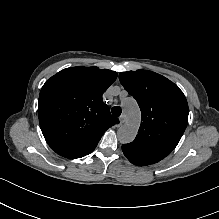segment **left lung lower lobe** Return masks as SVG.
Here are the masks:
<instances>
[{
    "label": "left lung lower lobe",
    "mask_w": 219,
    "mask_h": 219,
    "mask_svg": "<svg viewBox=\"0 0 219 219\" xmlns=\"http://www.w3.org/2000/svg\"><path fill=\"white\" fill-rule=\"evenodd\" d=\"M124 155L128 158V160L138 166H146L149 165L145 162L140 161L139 159L135 158L134 156H132L130 153H128L127 151L123 150Z\"/></svg>",
    "instance_id": "1"
}]
</instances>
